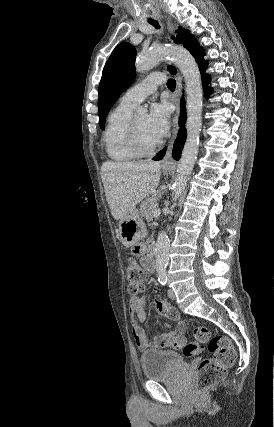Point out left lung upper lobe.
I'll return each mask as SVG.
<instances>
[{
  "label": "left lung upper lobe",
  "instance_id": "1",
  "mask_svg": "<svg viewBox=\"0 0 274 427\" xmlns=\"http://www.w3.org/2000/svg\"><path fill=\"white\" fill-rule=\"evenodd\" d=\"M176 43H182L187 50H192L197 44L194 36L187 29L179 27L177 30ZM135 48L129 43H122L113 50L107 60L102 78L99 84V125L105 127V119L109 110L120 96L134 81L136 73L134 60ZM171 73H175L174 67H169Z\"/></svg>",
  "mask_w": 274,
  "mask_h": 427
}]
</instances>
